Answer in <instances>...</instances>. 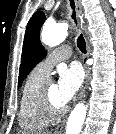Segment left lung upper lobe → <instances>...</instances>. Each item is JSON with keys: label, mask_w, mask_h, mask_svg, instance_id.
Instances as JSON below:
<instances>
[{"label": "left lung upper lobe", "mask_w": 116, "mask_h": 134, "mask_svg": "<svg viewBox=\"0 0 116 134\" xmlns=\"http://www.w3.org/2000/svg\"><path fill=\"white\" fill-rule=\"evenodd\" d=\"M45 21V14L37 11L27 24L19 71L20 86L33 67L46 55V51L40 42V29Z\"/></svg>", "instance_id": "1"}]
</instances>
